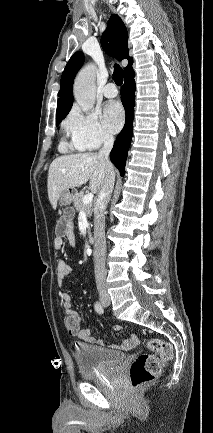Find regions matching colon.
Masks as SVG:
<instances>
[{
    "label": "colon",
    "instance_id": "colon-1",
    "mask_svg": "<svg viewBox=\"0 0 213 433\" xmlns=\"http://www.w3.org/2000/svg\"><path fill=\"white\" fill-rule=\"evenodd\" d=\"M63 324L68 333L74 335L81 330L82 319L77 312H66L63 316ZM145 346L154 354H141L131 363L129 380L133 389L154 380L162 367L173 359V347L166 341L152 338L145 343Z\"/></svg>",
    "mask_w": 213,
    "mask_h": 433
}]
</instances>
